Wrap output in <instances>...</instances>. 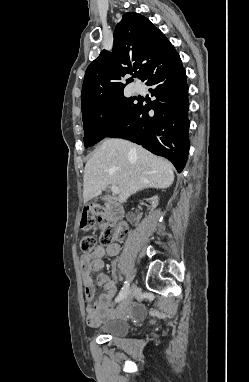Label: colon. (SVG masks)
Here are the masks:
<instances>
[{
    "mask_svg": "<svg viewBox=\"0 0 249 382\" xmlns=\"http://www.w3.org/2000/svg\"><path fill=\"white\" fill-rule=\"evenodd\" d=\"M102 225L100 241L104 245H111L119 242L124 237V228L116 224L114 220L99 205L86 207L83 209L80 220V227L83 230L93 228L96 223ZM96 240L92 236H84L80 241L81 249L90 252L95 248Z\"/></svg>",
    "mask_w": 249,
    "mask_h": 382,
    "instance_id": "colon-1",
    "label": "colon"
}]
</instances>
